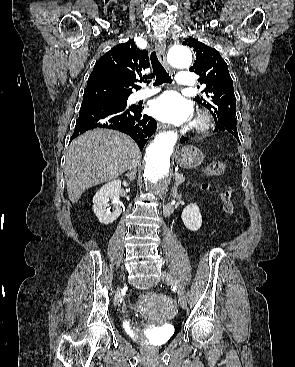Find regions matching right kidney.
Segmentation results:
<instances>
[{"label": "right kidney", "mask_w": 295, "mask_h": 367, "mask_svg": "<svg viewBox=\"0 0 295 367\" xmlns=\"http://www.w3.org/2000/svg\"><path fill=\"white\" fill-rule=\"evenodd\" d=\"M121 185L128 186L127 182L113 180L103 185L93 197V212L102 224L114 222L122 212V203L119 200ZM111 200V203L109 201ZM112 206V211L110 210Z\"/></svg>", "instance_id": "1"}]
</instances>
